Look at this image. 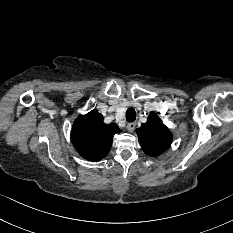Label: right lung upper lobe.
<instances>
[{
  "label": "right lung upper lobe",
  "instance_id": "1",
  "mask_svg": "<svg viewBox=\"0 0 233 233\" xmlns=\"http://www.w3.org/2000/svg\"><path fill=\"white\" fill-rule=\"evenodd\" d=\"M120 131L116 124H105L103 116L92 110L74 121L71 140L83 158L100 161L109 153L113 136Z\"/></svg>",
  "mask_w": 233,
  "mask_h": 233
}]
</instances>
